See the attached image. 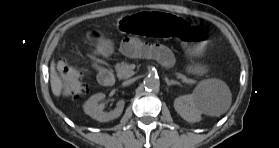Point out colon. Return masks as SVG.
<instances>
[{"label": "colon", "instance_id": "5ec220e1", "mask_svg": "<svg viewBox=\"0 0 279 148\" xmlns=\"http://www.w3.org/2000/svg\"><path fill=\"white\" fill-rule=\"evenodd\" d=\"M57 70L64 81L62 93L65 97L77 100L88 92L87 85L80 81L77 72L69 67L64 57L59 59Z\"/></svg>", "mask_w": 279, "mask_h": 148}]
</instances>
